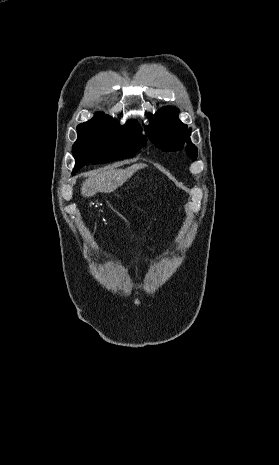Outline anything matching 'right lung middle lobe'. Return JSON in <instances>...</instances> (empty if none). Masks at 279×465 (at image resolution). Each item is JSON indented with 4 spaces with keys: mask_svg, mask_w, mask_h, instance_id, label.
I'll return each instance as SVG.
<instances>
[{
    "mask_svg": "<svg viewBox=\"0 0 279 465\" xmlns=\"http://www.w3.org/2000/svg\"><path fill=\"white\" fill-rule=\"evenodd\" d=\"M137 127L97 125L78 130L73 145L75 174L85 163H106L133 157L146 144V137Z\"/></svg>",
    "mask_w": 279,
    "mask_h": 465,
    "instance_id": "dd1d6c3e",
    "label": "right lung middle lobe"
}]
</instances>
